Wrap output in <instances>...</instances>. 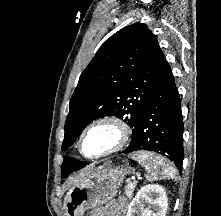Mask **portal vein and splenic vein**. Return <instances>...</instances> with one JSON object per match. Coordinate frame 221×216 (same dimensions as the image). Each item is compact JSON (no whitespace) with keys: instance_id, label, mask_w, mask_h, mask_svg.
<instances>
[{"instance_id":"1","label":"portal vein and splenic vein","mask_w":221,"mask_h":216,"mask_svg":"<svg viewBox=\"0 0 221 216\" xmlns=\"http://www.w3.org/2000/svg\"><path fill=\"white\" fill-rule=\"evenodd\" d=\"M140 178V177H139ZM137 181L134 179V183H136Z\"/></svg>"}]
</instances>
